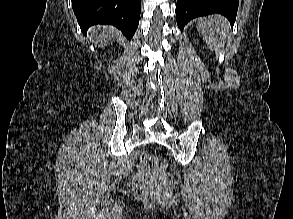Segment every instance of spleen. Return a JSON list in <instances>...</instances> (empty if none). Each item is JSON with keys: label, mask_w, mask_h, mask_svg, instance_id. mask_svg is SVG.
Wrapping results in <instances>:
<instances>
[{"label": "spleen", "mask_w": 293, "mask_h": 219, "mask_svg": "<svg viewBox=\"0 0 293 219\" xmlns=\"http://www.w3.org/2000/svg\"><path fill=\"white\" fill-rule=\"evenodd\" d=\"M197 31L212 50L220 51L229 37L230 24L225 17L211 15L198 19Z\"/></svg>", "instance_id": "1"}]
</instances>
